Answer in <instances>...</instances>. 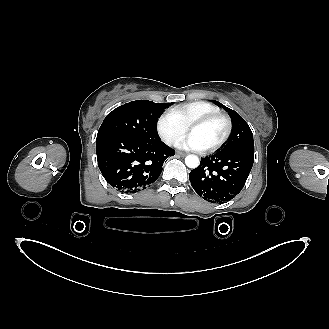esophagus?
<instances>
[{
    "instance_id": "esophagus-1",
    "label": "esophagus",
    "mask_w": 329,
    "mask_h": 329,
    "mask_svg": "<svg viewBox=\"0 0 329 329\" xmlns=\"http://www.w3.org/2000/svg\"><path fill=\"white\" fill-rule=\"evenodd\" d=\"M176 155H177V156H182V157H184V156L186 155V153H184V152H177Z\"/></svg>"
}]
</instances>
